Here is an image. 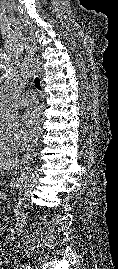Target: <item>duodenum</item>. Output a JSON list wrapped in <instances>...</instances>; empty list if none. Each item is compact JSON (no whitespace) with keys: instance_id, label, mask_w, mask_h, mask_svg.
<instances>
[{"instance_id":"obj_1","label":"duodenum","mask_w":118,"mask_h":269,"mask_svg":"<svg viewBox=\"0 0 118 269\" xmlns=\"http://www.w3.org/2000/svg\"><path fill=\"white\" fill-rule=\"evenodd\" d=\"M26 223H27L26 216L23 213L17 214L15 219V229L20 230L25 228Z\"/></svg>"}]
</instances>
